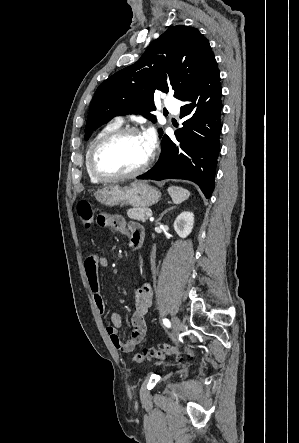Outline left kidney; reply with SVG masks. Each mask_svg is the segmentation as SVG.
<instances>
[{"mask_svg":"<svg viewBox=\"0 0 299 443\" xmlns=\"http://www.w3.org/2000/svg\"><path fill=\"white\" fill-rule=\"evenodd\" d=\"M194 214L189 211L182 212L174 221V230L181 238H186L193 229Z\"/></svg>","mask_w":299,"mask_h":443,"instance_id":"1","label":"left kidney"}]
</instances>
